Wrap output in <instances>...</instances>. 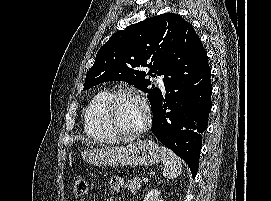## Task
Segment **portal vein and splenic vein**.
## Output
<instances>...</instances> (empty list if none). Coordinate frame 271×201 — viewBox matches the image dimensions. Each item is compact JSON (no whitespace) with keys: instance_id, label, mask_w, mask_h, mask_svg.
<instances>
[{"instance_id":"18ae733b","label":"portal vein and splenic vein","mask_w":271,"mask_h":201,"mask_svg":"<svg viewBox=\"0 0 271 201\" xmlns=\"http://www.w3.org/2000/svg\"><path fill=\"white\" fill-rule=\"evenodd\" d=\"M143 181L144 182H148V178H143Z\"/></svg>"}]
</instances>
